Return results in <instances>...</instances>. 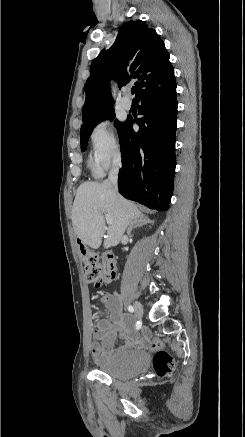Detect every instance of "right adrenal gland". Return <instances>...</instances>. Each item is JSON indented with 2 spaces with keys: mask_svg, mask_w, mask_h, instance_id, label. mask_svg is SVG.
Returning a JSON list of instances; mask_svg holds the SVG:
<instances>
[{
  "mask_svg": "<svg viewBox=\"0 0 245 437\" xmlns=\"http://www.w3.org/2000/svg\"><path fill=\"white\" fill-rule=\"evenodd\" d=\"M150 222L151 221L147 218H140L139 220L130 224V226L127 230V234H130V232L132 231L133 228L140 227V226L147 224V223H150Z\"/></svg>",
  "mask_w": 245,
  "mask_h": 437,
  "instance_id": "1",
  "label": "right adrenal gland"
}]
</instances>
